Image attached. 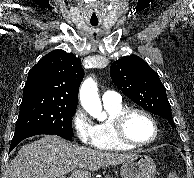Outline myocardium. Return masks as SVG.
Masks as SVG:
<instances>
[{
	"instance_id": "f54148a6",
	"label": "myocardium",
	"mask_w": 194,
	"mask_h": 178,
	"mask_svg": "<svg viewBox=\"0 0 194 178\" xmlns=\"http://www.w3.org/2000/svg\"><path fill=\"white\" fill-rule=\"evenodd\" d=\"M138 113L143 116H145L149 121L152 123L154 128V136L153 138L148 142H135L129 138V136L126 133V122L127 119L131 114ZM112 126L115 133L116 139L123 145L131 147V148H139V147H146L151 144H153L159 137V126L155 119V117L148 112L147 110H144L142 108L137 107H129L124 108L122 111H120L118 114H116L112 119Z\"/></svg>"
}]
</instances>
